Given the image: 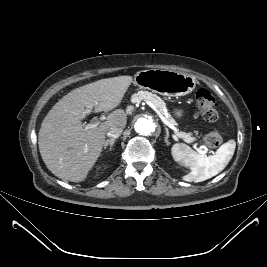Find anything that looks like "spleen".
<instances>
[{
	"label": "spleen",
	"instance_id": "obj_1",
	"mask_svg": "<svg viewBox=\"0 0 267 267\" xmlns=\"http://www.w3.org/2000/svg\"><path fill=\"white\" fill-rule=\"evenodd\" d=\"M236 147L235 140L231 139L222 144L215 154L205 156L193 151L188 145L176 143L171 153L176 162L189 167L191 172L183 176L187 182H202L210 179L225 169L232 159Z\"/></svg>",
	"mask_w": 267,
	"mask_h": 267
}]
</instances>
